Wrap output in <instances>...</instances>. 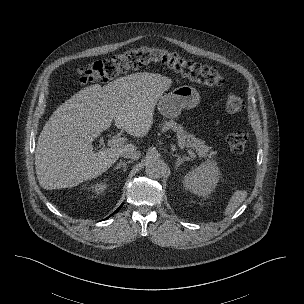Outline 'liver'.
Here are the masks:
<instances>
[{
    "label": "liver",
    "instance_id": "1",
    "mask_svg": "<svg viewBox=\"0 0 304 304\" xmlns=\"http://www.w3.org/2000/svg\"><path fill=\"white\" fill-rule=\"evenodd\" d=\"M172 84L156 73H134L105 86H88L61 104L44 125L37 142L35 168L47 190L77 186L105 172L121 154L135 148L125 144L94 152L92 145L111 126L144 137L153 124L154 108Z\"/></svg>",
    "mask_w": 304,
    "mask_h": 304
}]
</instances>
